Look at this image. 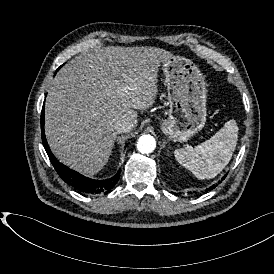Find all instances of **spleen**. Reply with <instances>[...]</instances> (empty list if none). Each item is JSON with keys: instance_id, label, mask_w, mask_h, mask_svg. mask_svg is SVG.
Returning a JSON list of instances; mask_svg holds the SVG:
<instances>
[{"instance_id": "1", "label": "spleen", "mask_w": 274, "mask_h": 274, "mask_svg": "<svg viewBox=\"0 0 274 274\" xmlns=\"http://www.w3.org/2000/svg\"><path fill=\"white\" fill-rule=\"evenodd\" d=\"M237 142V126L230 120L210 139L190 149H175L176 161L198 179L215 177L229 162Z\"/></svg>"}]
</instances>
